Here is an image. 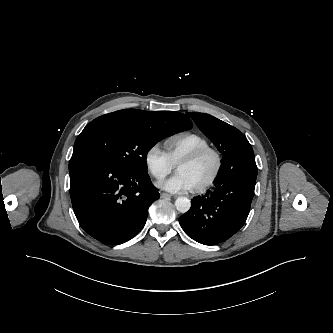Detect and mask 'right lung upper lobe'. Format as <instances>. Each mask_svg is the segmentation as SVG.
Masks as SVG:
<instances>
[{
	"label": "right lung upper lobe",
	"mask_w": 333,
	"mask_h": 333,
	"mask_svg": "<svg viewBox=\"0 0 333 333\" xmlns=\"http://www.w3.org/2000/svg\"><path fill=\"white\" fill-rule=\"evenodd\" d=\"M107 115L132 118L149 124H180L183 125L186 130L191 129L192 127L191 120L185 114L172 111L149 112L138 109H124Z\"/></svg>",
	"instance_id": "1"
}]
</instances>
